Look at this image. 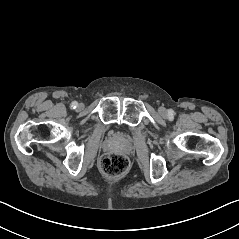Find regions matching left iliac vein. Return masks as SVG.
<instances>
[{"mask_svg": "<svg viewBox=\"0 0 239 239\" xmlns=\"http://www.w3.org/2000/svg\"><path fill=\"white\" fill-rule=\"evenodd\" d=\"M158 112L161 116L165 117L167 115V110L164 107H160Z\"/></svg>", "mask_w": 239, "mask_h": 239, "instance_id": "obj_1", "label": "left iliac vein"}]
</instances>
